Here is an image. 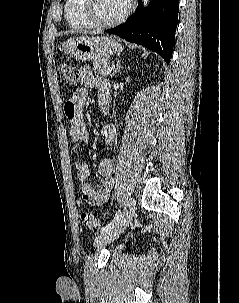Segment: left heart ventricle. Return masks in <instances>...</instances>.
I'll list each match as a JSON object with an SVG mask.
<instances>
[{"label": "left heart ventricle", "instance_id": "left-heart-ventricle-1", "mask_svg": "<svg viewBox=\"0 0 239 303\" xmlns=\"http://www.w3.org/2000/svg\"><path fill=\"white\" fill-rule=\"evenodd\" d=\"M127 5L126 0H96L94 15L100 21H110L120 16Z\"/></svg>", "mask_w": 239, "mask_h": 303}]
</instances>
